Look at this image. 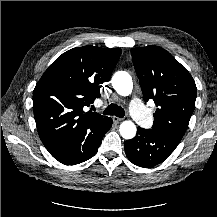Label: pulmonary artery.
<instances>
[{"mask_svg": "<svg viewBox=\"0 0 217 217\" xmlns=\"http://www.w3.org/2000/svg\"><path fill=\"white\" fill-rule=\"evenodd\" d=\"M130 114L137 120L147 119V110L138 98H134L130 103Z\"/></svg>", "mask_w": 217, "mask_h": 217, "instance_id": "1", "label": "pulmonary artery"}]
</instances>
